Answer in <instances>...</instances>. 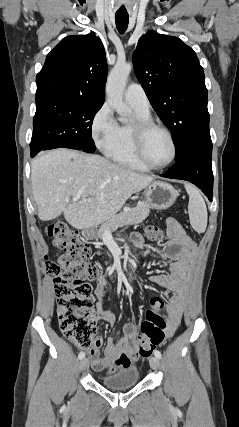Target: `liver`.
<instances>
[{
  "instance_id": "6515ba94",
  "label": "liver",
  "mask_w": 239,
  "mask_h": 427,
  "mask_svg": "<svg viewBox=\"0 0 239 427\" xmlns=\"http://www.w3.org/2000/svg\"><path fill=\"white\" fill-rule=\"evenodd\" d=\"M152 181L153 177L100 155L68 149L46 152L31 164L32 192L40 220H53L63 212L66 221L80 230L111 219L132 194ZM76 195L80 198L73 201Z\"/></svg>"
}]
</instances>
